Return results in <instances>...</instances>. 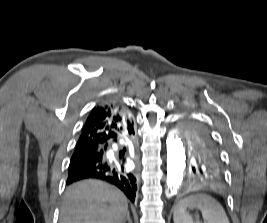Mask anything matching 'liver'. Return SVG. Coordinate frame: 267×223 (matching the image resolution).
Wrapping results in <instances>:
<instances>
[{
    "mask_svg": "<svg viewBox=\"0 0 267 223\" xmlns=\"http://www.w3.org/2000/svg\"><path fill=\"white\" fill-rule=\"evenodd\" d=\"M127 212V198L120 190L86 180L67 188L59 223H122Z\"/></svg>",
    "mask_w": 267,
    "mask_h": 223,
    "instance_id": "1",
    "label": "liver"
}]
</instances>
